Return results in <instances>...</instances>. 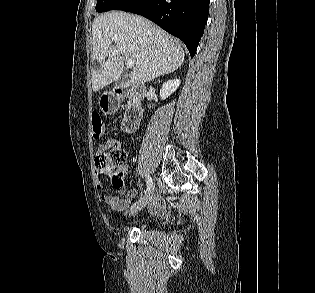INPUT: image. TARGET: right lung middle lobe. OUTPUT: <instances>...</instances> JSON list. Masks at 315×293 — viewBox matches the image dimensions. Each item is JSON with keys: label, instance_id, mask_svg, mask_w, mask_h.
Wrapping results in <instances>:
<instances>
[{"label": "right lung middle lobe", "instance_id": "obj_1", "mask_svg": "<svg viewBox=\"0 0 315 293\" xmlns=\"http://www.w3.org/2000/svg\"><path fill=\"white\" fill-rule=\"evenodd\" d=\"M121 0H97L96 11L105 12L111 10Z\"/></svg>", "mask_w": 315, "mask_h": 293}]
</instances>
